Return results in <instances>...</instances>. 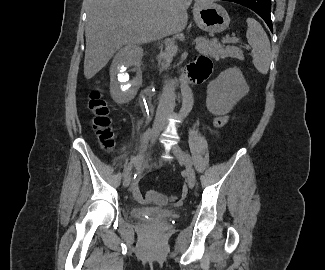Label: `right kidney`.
<instances>
[{
    "instance_id": "1",
    "label": "right kidney",
    "mask_w": 325,
    "mask_h": 270,
    "mask_svg": "<svg viewBox=\"0 0 325 270\" xmlns=\"http://www.w3.org/2000/svg\"><path fill=\"white\" fill-rule=\"evenodd\" d=\"M141 84L140 54L128 47L121 49L110 68V93L113 100L118 104L128 103L136 96Z\"/></svg>"
}]
</instances>
